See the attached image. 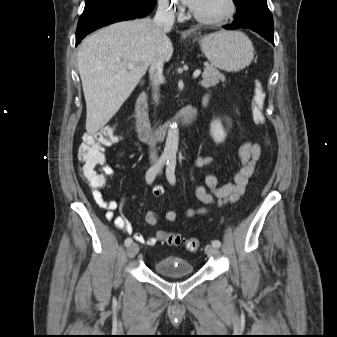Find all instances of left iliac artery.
Masks as SVG:
<instances>
[{
  "mask_svg": "<svg viewBox=\"0 0 337 337\" xmlns=\"http://www.w3.org/2000/svg\"><path fill=\"white\" fill-rule=\"evenodd\" d=\"M175 167H176V157L170 156L167 161V169H166V175L167 179L171 184H175L176 178H175ZM212 245L219 248L221 246V242L219 240H213Z\"/></svg>",
  "mask_w": 337,
  "mask_h": 337,
  "instance_id": "left-iliac-artery-1",
  "label": "left iliac artery"
}]
</instances>
